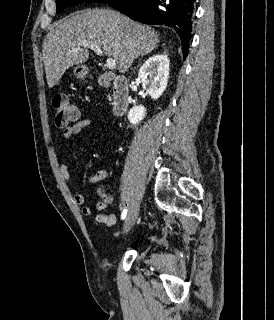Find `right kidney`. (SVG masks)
<instances>
[{"mask_svg": "<svg viewBox=\"0 0 274 320\" xmlns=\"http://www.w3.org/2000/svg\"><path fill=\"white\" fill-rule=\"evenodd\" d=\"M169 58L166 54H154L141 66L138 78L143 90L151 96L152 100H158L166 90L169 78ZM147 114L144 106H134L127 114L130 124L136 126L144 120Z\"/></svg>", "mask_w": 274, "mask_h": 320, "instance_id": "ca27d5eb", "label": "right kidney"}]
</instances>
